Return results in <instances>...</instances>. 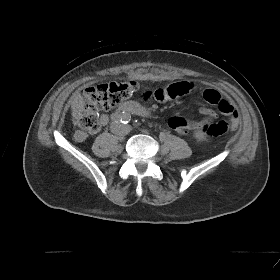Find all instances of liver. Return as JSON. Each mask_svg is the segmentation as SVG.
I'll list each match as a JSON object with an SVG mask.
<instances>
[{
  "instance_id": "6515ba94",
  "label": "liver",
  "mask_w": 280,
  "mask_h": 280,
  "mask_svg": "<svg viewBox=\"0 0 280 280\" xmlns=\"http://www.w3.org/2000/svg\"><path fill=\"white\" fill-rule=\"evenodd\" d=\"M71 109L73 118L77 120L80 119L84 110V101L83 97L79 93L73 96Z\"/></svg>"
}]
</instances>
